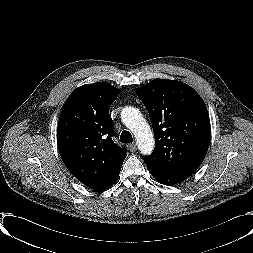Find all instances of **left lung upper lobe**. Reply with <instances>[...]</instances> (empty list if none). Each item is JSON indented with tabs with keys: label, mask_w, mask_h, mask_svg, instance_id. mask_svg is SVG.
Masks as SVG:
<instances>
[{
	"label": "left lung upper lobe",
	"mask_w": 253,
	"mask_h": 253,
	"mask_svg": "<svg viewBox=\"0 0 253 253\" xmlns=\"http://www.w3.org/2000/svg\"><path fill=\"white\" fill-rule=\"evenodd\" d=\"M149 112L155 149L143 157L148 168L193 174L202 163L210 142L206 105L187 84L155 79L137 89Z\"/></svg>",
	"instance_id": "obj_1"
}]
</instances>
